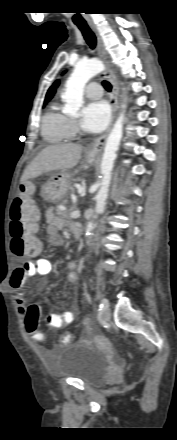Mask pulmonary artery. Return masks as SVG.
I'll return each mask as SVG.
<instances>
[{
	"instance_id": "obj_1",
	"label": "pulmonary artery",
	"mask_w": 177,
	"mask_h": 440,
	"mask_svg": "<svg viewBox=\"0 0 177 440\" xmlns=\"http://www.w3.org/2000/svg\"><path fill=\"white\" fill-rule=\"evenodd\" d=\"M85 94L87 97H89L91 99H98L102 96L103 90H102L101 85H99L96 82H92L87 85V87L85 89Z\"/></svg>"
}]
</instances>
